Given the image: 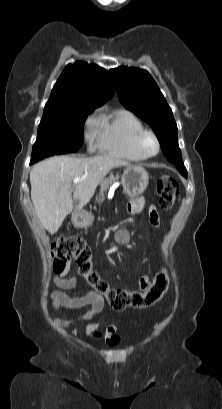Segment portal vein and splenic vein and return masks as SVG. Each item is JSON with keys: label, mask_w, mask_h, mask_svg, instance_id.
Listing matches in <instances>:
<instances>
[{"label": "portal vein and splenic vein", "mask_w": 222, "mask_h": 409, "mask_svg": "<svg viewBox=\"0 0 222 409\" xmlns=\"http://www.w3.org/2000/svg\"><path fill=\"white\" fill-rule=\"evenodd\" d=\"M83 179H84V177L83 178H78V177L74 178V180H73L74 185L77 184L78 182H80Z\"/></svg>", "instance_id": "1"}]
</instances>
